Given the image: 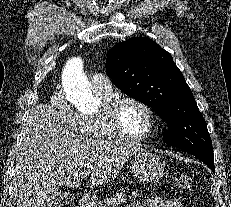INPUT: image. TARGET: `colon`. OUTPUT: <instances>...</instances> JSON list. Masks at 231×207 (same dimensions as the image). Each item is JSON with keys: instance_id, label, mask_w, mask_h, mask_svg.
<instances>
[{"instance_id": "5ec220e1", "label": "colon", "mask_w": 231, "mask_h": 207, "mask_svg": "<svg viewBox=\"0 0 231 207\" xmlns=\"http://www.w3.org/2000/svg\"><path fill=\"white\" fill-rule=\"evenodd\" d=\"M174 179L181 189H189L191 187V179L187 175H176Z\"/></svg>"}]
</instances>
